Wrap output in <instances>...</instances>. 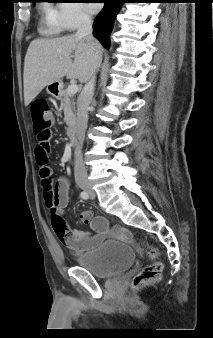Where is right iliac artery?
<instances>
[{
    "instance_id": "1",
    "label": "right iliac artery",
    "mask_w": 213,
    "mask_h": 338,
    "mask_svg": "<svg viewBox=\"0 0 213 338\" xmlns=\"http://www.w3.org/2000/svg\"><path fill=\"white\" fill-rule=\"evenodd\" d=\"M80 197L82 198V199H88L89 198V194L86 192V191H82L81 193H80Z\"/></svg>"
}]
</instances>
